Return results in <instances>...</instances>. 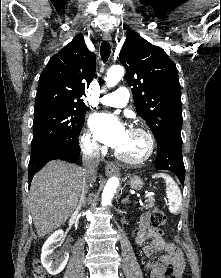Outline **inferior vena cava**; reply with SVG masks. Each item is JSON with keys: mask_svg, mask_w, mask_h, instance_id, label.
<instances>
[{"mask_svg": "<svg viewBox=\"0 0 221 278\" xmlns=\"http://www.w3.org/2000/svg\"><path fill=\"white\" fill-rule=\"evenodd\" d=\"M100 161V152L99 150H91V151H86L83 153L82 156V163L84 166V174L85 178L87 181H85L83 188H82V193L80 196V203L78 205L77 209H80L82 205L85 204V195L88 191V183L90 179L94 178L96 175V169L99 165Z\"/></svg>", "mask_w": 221, "mask_h": 278, "instance_id": "obj_1", "label": "inferior vena cava"}]
</instances>
